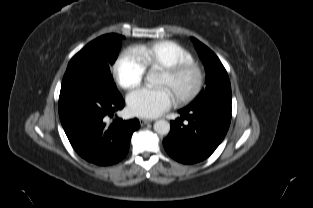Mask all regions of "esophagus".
<instances>
[{
    "label": "esophagus",
    "mask_w": 313,
    "mask_h": 208,
    "mask_svg": "<svg viewBox=\"0 0 313 208\" xmlns=\"http://www.w3.org/2000/svg\"><path fill=\"white\" fill-rule=\"evenodd\" d=\"M152 122V120H148V119H140V124L141 126H144L148 123Z\"/></svg>",
    "instance_id": "obj_1"
}]
</instances>
